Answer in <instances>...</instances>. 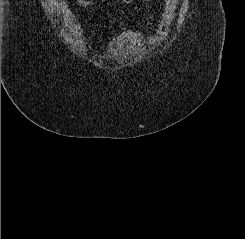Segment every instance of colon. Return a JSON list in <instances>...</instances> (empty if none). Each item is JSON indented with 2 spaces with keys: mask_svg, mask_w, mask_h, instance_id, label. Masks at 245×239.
Masks as SVG:
<instances>
[{
  "mask_svg": "<svg viewBox=\"0 0 245 239\" xmlns=\"http://www.w3.org/2000/svg\"><path fill=\"white\" fill-rule=\"evenodd\" d=\"M123 2L125 3H131V2H134V1H137V0H122ZM144 1H149V0H144Z\"/></svg>",
  "mask_w": 245,
  "mask_h": 239,
  "instance_id": "5ec220e1",
  "label": "colon"
}]
</instances>
